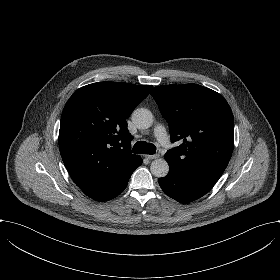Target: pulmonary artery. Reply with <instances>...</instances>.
Instances as JSON below:
<instances>
[{
  "instance_id": "pulmonary-artery-1",
  "label": "pulmonary artery",
  "mask_w": 280,
  "mask_h": 280,
  "mask_svg": "<svg viewBox=\"0 0 280 280\" xmlns=\"http://www.w3.org/2000/svg\"><path fill=\"white\" fill-rule=\"evenodd\" d=\"M154 135L157 140L166 148L171 147L168 135L163 125H158L154 130Z\"/></svg>"
}]
</instances>
